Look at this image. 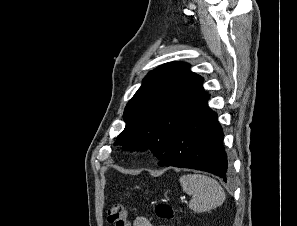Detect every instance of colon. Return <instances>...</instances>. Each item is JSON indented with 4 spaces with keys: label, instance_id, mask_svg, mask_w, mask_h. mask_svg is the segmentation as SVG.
I'll return each instance as SVG.
<instances>
[{
    "label": "colon",
    "instance_id": "obj_1",
    "mask_svg": "<svg viewBox=\"0 0 297 226\" xmlns=\"http://www.w3.org/2000/svg\"><path fill=\"white\" fill-rule=\"evenodd\" d=\"M158 218L162 220H172L174 210L167 203H158L155 207ZM107 220L112 226H129L126 208L121 204H113L107 212Z\"/></svg>",
    "mask_w": 297,
    "mask_h": 226
}]
</instances>
